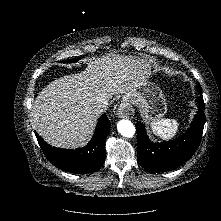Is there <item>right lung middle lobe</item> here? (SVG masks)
<instances>
[{
  "label": "right lung middle lobe",
  "instance_id": "dd1d6c3e",
  "mask_svg": "<svg viewBox=\"0 0 221 221\" xmlns=\"http://www.w3.org/2000/svg\"><path fill=\"white\" fill-rule=\"evenodd\" d=\"M79 59L78 58H75V59H69V60H65L63 61L64 63H72V62H76L78 61Z\"/></svg>",
  "mask_w": 221,
  "mask_h": 221
}]
</instances>
